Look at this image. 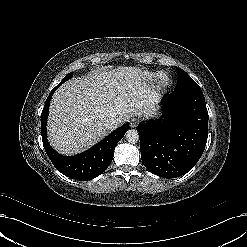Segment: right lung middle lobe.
<instances>
[{
	"mask_svg": "<svg viewBox=\"0 0 247 247\" xmlns=\"http://www.w3.org/2000/svg\"><path fill=\"white\" fill-rule=\"evenodd\" d=\"M72 77V73H69L68 75H66L64 77V79L57 85L60 86L62 83H64L65 81H67L68 79H70Z\"/></svg>",
	"mask_w": 247,
	"mask_h": 247,
	"instance_id": "obj_1",
	"label": "right lung middle lobe"
}]
</instances>
